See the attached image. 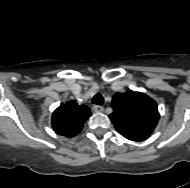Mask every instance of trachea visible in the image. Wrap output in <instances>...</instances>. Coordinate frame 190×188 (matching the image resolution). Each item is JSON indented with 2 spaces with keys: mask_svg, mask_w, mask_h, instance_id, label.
<instances>
[{
  "mask_svg": "<svg viewBox=\"0 0 190 188\" xmlns=\"http://www.w3.org/2000/svg\"><path fill=\"white\" fill-rule=\"evenodd\" d=\"M93 104L102 105L104 102L103 96L100 93H97L92 100Z\"/></svg>",
  "mask_w": 190,
  "mask_h": 188,
  "instance_id": "3493384b",
  "label": "trachea"
}]
</instances>
